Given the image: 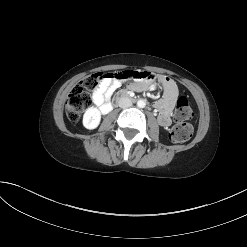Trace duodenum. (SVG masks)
I'll use <instances>...</instances> for the list:
<instances>
[{
    "instance_id": "1",
    "label": "duodenum",
    "mask_w": 247,
    "mask_h": 247,
    "mask_svg": "<svg viewBox=\"0 0 247 247\" xmlns=\"http://www.w3.org/2000/svg\"><path fill=\"white\" fill-rule=\"evenodd\" d=\"M129 97L128 92L126 90H121L118 93L113 95V104L112 107L116 108L118 106L119 98Z\"/></svg>"
}]
</instances>
